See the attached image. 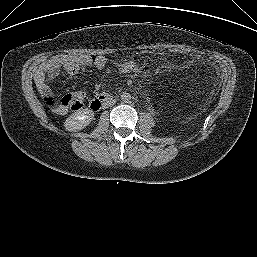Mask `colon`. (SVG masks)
<instances>
[{
  "mask_svg": "<svg viewBox=\"0 0 257 257\" xmlns=\"http://www.w3.org/2000/svg\"><path fill=\"white\" fill-rule=\"evenodd\" d=\"M174 53H182L189 54V51L173 49ZM85 100V95L82 92H72L68 93L61 99L60 104L53 98L48 99L46 102L50 107H56L57 105H61L63 107L69 108L71 110H79L82 108Z\"/></svg>",
  "mask_w": 257,
  "mask_h": 257,
  "instance_id": "5ec220e1",
  "label": "colon"
}]
</instances>
